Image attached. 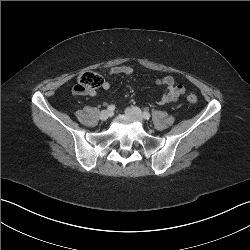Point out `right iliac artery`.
I'll return each mask as SVG.
<instances>
[{
    "label": "right iliac artery",
    "mask_w": 250,
    "mask_h": 250,
    "mask_svg": "<svg viewBox=\"0 0 250 250\" xmlns=\"http://www.w3.org/2000/svg\"><path fill=\"white\" fill-rule=\"evenodd\" d=\"M107 109H108L109 111H113V110H115V106H114V105H109V106L107 107Z\"/></svg>",
    "instance_id": "obj_1"
}]
</instances>
